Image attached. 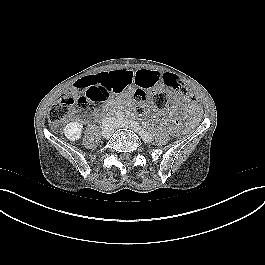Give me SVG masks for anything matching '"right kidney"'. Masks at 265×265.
Wrapping results in <instances>:
<instances>
[{
	"instance_id": "ca27d5eb",
	"label": "right kidney",
	"mask_w": 265,
	"mask_h": 265,
	"mask_svg": "<svg viewBox=\"0 0 265 265\" xmlns=\"http://www.w3.org/2000/svg\"><path fill=\"white\" fill-rule=\"evenodd\" d=\"M83 125L79 122H71L64 127V135L74 142L80 139Z\"/></svg>"
}]
</instances>
